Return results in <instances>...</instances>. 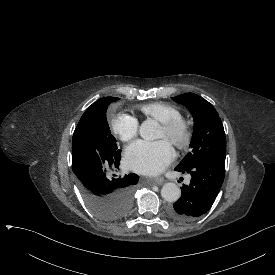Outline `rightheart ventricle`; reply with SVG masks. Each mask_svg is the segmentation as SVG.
Instances as JSON below:
<instances>
[{
	"mask_svg": "<svg viewBox=\"0 0 275 275\" xmlns=\"http://www.w3.org/2000/svg\"><path fill=\"white\" fill-rule=\"evenodd\" d=\"M138 108L143 114L160 123L180 117V112L176 108L162 102H152L140 105Z\"/></svg>",
	"mask_w": 275,
	"mask_h": 275,
	"instance_id": "right-heart-ventricle-1",
	"label": "right heart ventricle"
}]
</instances>
